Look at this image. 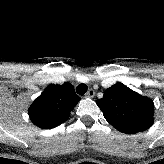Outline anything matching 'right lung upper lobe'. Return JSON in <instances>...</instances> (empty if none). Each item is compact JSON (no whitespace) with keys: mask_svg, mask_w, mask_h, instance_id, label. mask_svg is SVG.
<instances>
[{"mask_svg":"<svg viewBox=\"0 0 164 164\" xmlns=\"http://www.w3.org/2000/svg\"><path fill=\"white\" fill-rule=\"evenodd\" d=\"M80 101L72 84L49 85L29 107L31 121L42 129L54 128L70 116V112Z\"/></svg>","mask_w":164,"mask_h":164,"instance_id":"1","label":"right lung upper lobe"}]
</instances>
